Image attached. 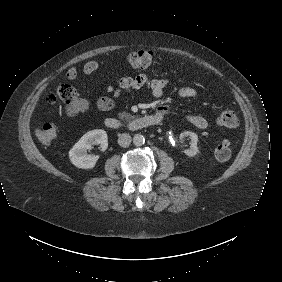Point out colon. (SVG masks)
Masks as SVG:
<instances>
[{"mask_svg": "<svg viewBox=\"0 0 282 282\" xmlns=\"http://www.w3.org/2000/svg\"><path fill=\"white\" fill-rule=\"evenodd\" d=\"M156 56L150 50H137L131 53L128 58L129 64L136 70L145 69L155 62ZM48 101L52 104L71 103L77 98V91L67 85H60L55 90L49 92ZM217 125L220 128H235L238 125L236 113L229 109H224L217 116ZM37 139L43 144H51L57 137V129L53 123H45L36 131ZM231 156V145L226 139H219L215 149L214 158L218 162L226 161Z\"/></svg>", "mask_w": 282, "mask_h": 282, "instance_id": "5ec220e1", "label": "colon"}]
</instances>
